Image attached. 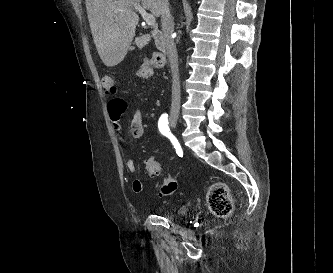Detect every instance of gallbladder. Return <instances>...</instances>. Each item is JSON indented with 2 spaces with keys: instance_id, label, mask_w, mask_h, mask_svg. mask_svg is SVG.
I'll list each match as a JSON object with an SVG mask.
<instances>
[{
  "instance_id": "1",
  "label": "gallbladder",
  "mask_w": 333,
  "mask_h": 273,
  "mask_svg": "<svg viewBox=\"0 0 333 273\" xmlns=\"http://www.w3.org/2000/svg\"><path fill=\"white\" fill-rule=\"evenodd\" d=\"M147 42H148V40L144 36L139 37L136 40V43L139 47H143L145 44H147Z\"/></svg>"
}]
</instances>
